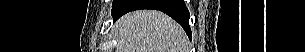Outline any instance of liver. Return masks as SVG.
Here are the masks:
<instances>
[{
  "instance_id": "1",
  "label": "liver",
  "mask_w": 305,
  "mask_h": 52,
  "mask_svg": "<svg viewBox=\"0 0 305 52\" xmlns=\"http://www.w3.org/2000/svg\"><path fill=\"white\" fill-rule=\"evenodd\" d=\"M116 52H187L181 26L156 10H138L116 23Z\"/></svg>"
}]
</instances>
